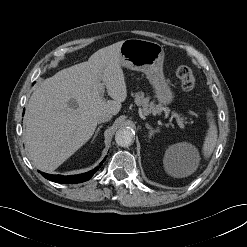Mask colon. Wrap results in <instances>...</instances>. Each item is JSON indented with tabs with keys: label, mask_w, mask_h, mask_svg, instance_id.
<instances>
[{
	"label": "colon",
	"mask_w": 247,
	"mask_h": 247,
	"mask_svg": "<svg viewBox=\"0 0 247 247\" xmlns=\"http://www.w3.org/2000/svg\"><path fill=\"white\" fill-rule=\"evenodd\" d=\"M176 75L181 82L182 89L186 92H190L195 87V78L191 69L187 66H179L176 69Z\"/></svg>",
	"instance_id": "5ec220e1"
}]
</instances>
